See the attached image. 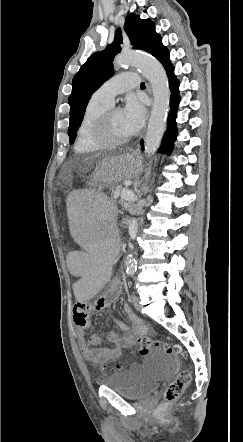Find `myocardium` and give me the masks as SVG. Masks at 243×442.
<instances>
[{
	"instance_id": "obj_1",
	"label": "myocardium",
	"mask_w": 243,
	"mask_h": 442,
	"mask_svg": "<svg viewBox=\"0 0 243 442\" xmlns=\"http://www.w3.org/2000/svg\"><path fill=\"white\" fill-rule=\"evenodd\" d=\"M116 108L110 107L104 111L93 123L91 136L96 144L102 147H117L128 143L132 135L123 139H110L108 136L109 121Z\"/></svg>"
}]
</instances>
